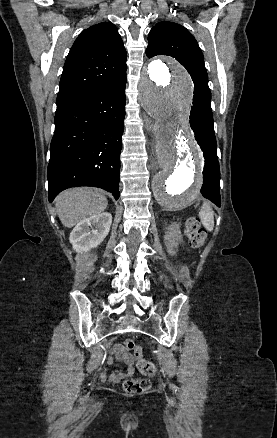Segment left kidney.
Instances as JSON below:
<instances>
[{
    "mask_svg": "<svg viewBox=\"0 0 277 438\" xmlns=\"http://www.w3.org/2000/svg\"><path fill=\"white\" fill-rule=\"evenodd\" d=\"M179 228L180 226L179 224H176V222H173V224H170V226L166 228L167 232H165L164 244L170 256H175L176 254L175 248H177L181 240Z\"/></svg>",
    "mask_w": 277,
    "mask_h": 438,
    "instance_id": "obj_1",
    "label": "left kidney"
}]
</instances>
